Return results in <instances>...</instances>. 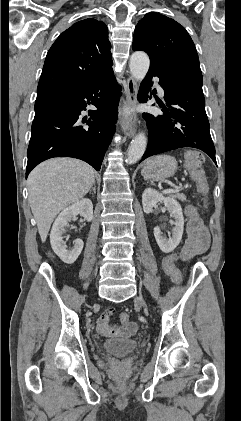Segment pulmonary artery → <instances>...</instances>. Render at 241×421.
I'll list each match as a JSON object with an SVG mask.
<instances>
[{
    "instance_id": "e3ab8cb5",
    "label": "pulmonary artery",
    "mask_w": 241,
    "mask_h": 421,
    "mask_svg": "<svg viewBox=\"0 0 241 421\" xmlns=\"http://www.w3.org/2000/svg\"><path fill=\"white\" fill-rule=\"evenodd\" d=\"M156 88H157V91H158L159 95L160 96H164V90H163V88L160 85H158V84H156Z\"/></svg>"
}]
</instances>
